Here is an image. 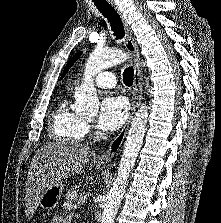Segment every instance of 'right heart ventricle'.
<instances>
[{"mask_svg": "<svg viewBox=\"0 0 221 223\" xmlns=\"http://www.w3.org/2000/svg\"><path fill=\"white\" fill-rule=\"evenodd\" d=\"M86 132L87 125L84 119L69 107L68 100L63 99L58 103L50 116L51 138L75 143L82 141Z\"/></svg>", "mask_w": 221, "mask_h": 223, "instance_id": "right-heart-ventricle-1", "label": "right heart ventricle"}]
</instances>
